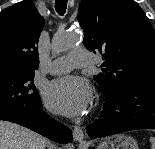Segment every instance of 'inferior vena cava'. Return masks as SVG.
Returning <instances> with one entry per match:
<instances>
[{
    "mask_svg": "<svg viewBox=\"0 0 155 149\" xmlns=\"http://www.w3.org/2000/svg\"><path fill=\"white\" fill-rule=\"evenodd\" d=\"M48 149H54V146H52V144L48 143Z\"/></svg>",
    "mask_w": 155,
    "mask_h": 149,
    "instance_id": "obj_1",
    "label": "inferior vena cava"
}]
</instances>
